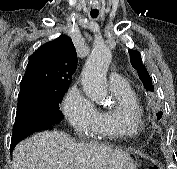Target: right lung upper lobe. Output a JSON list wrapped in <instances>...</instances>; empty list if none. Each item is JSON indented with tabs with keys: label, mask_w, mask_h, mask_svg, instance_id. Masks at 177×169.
<instances>
[{
	"label": "right lung upper lobe",
	"mask_w": 177,
	"mask_h": 169,
	"mask_svg": "<svg viewBox=\"0 0 177 169\" xmlns=\"http://www.w3.org/2000/svg\"><path fill=\"white\" fill-rule=\"evenodd\" d=\"M76 67L75 47L68 36L43 44L28 62L18 98H47L67 91Z\"/></svg>",
	"instance_id": "right-lung-upper-lobe-1"
}]
</instances>
